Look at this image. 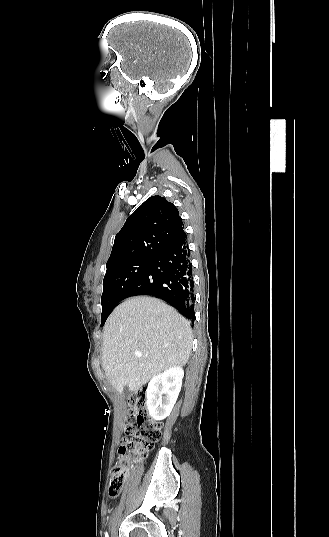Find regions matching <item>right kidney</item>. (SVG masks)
<instances>
[{"mask_svg": "<svg viewBox=\"0 0 329 537\" xmlns=\"http://www.w3.org/2000/svg\"><path fill=\"white\" fill-rule=\"evenodd\" d=\"M184 371L175 366L154 376L146 390V404L154 420H163L170 415L181 390Z\"/></svg>", "mask_w": 329, "mask_h": 537, "instance_id": "obj_1", "label": "right kidney"}]
</instances>
